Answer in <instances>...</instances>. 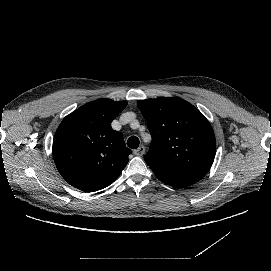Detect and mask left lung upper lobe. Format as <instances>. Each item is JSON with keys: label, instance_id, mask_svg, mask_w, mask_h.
<instances>
[{"label": "left lung upper lobe", "instance_id": "obj_1", "mask_svg": "<svg viewBox=\"0 0 271 271\" xmlns=\"http://www.w3.org/2000/svg\"><path fill=\"white\" fill-rule=\"evenodd\" d=\"M137 105L152 136L145 158L209 171L216 153L215 136L210 123L196 107L177 97L141 100Z\"/></svg>", "mask_w": 271, "mask_h": 271}]
</instances>
